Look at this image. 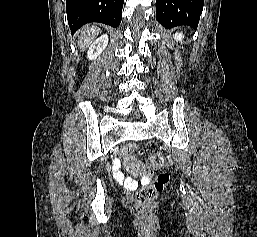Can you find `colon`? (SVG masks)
Masks as SVG:
<instances>
[{
  "mask_svg": "<svg viewBox=\"0 0 257 237\" xmlns=\"http://www.w3.org/2000/svg\"><path fill=\"white\" fill-rule=\"evenodd\" d=\"M134 154H143V150L138 148L135 144H127L123 147L122 156L127 169L134 176L147 177L148 171L145 165L141 162L132 159ZM165 164L163 154L154 152L149 157V165L153 168H162ZM169 181V174L166 171H161L154 180L147 181L136 194L137 210L143 218L150 215L152 204L158 192L163 190Z\"/></svg>",
  "mask_w": 257,
  "mask_h": 237,
  "instance_id": "5ec220e1",
  "label": "colon"
}]
</instances>
